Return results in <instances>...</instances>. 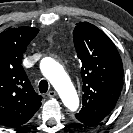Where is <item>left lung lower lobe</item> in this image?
I'll return each instance as SVG.
<instances>
[{
    "label": "left lung lower lobe",
    "instance_id": "left-lung-lower-lobe-1",
    "mask_svg": "<svg viewBox=\"0 0 133 133\" xmlns=\"http://www.w3.org/2000/svg\"><path fill=\"white\" fill-rule=\"evenodd\" d=\"M75 117L80 122H82V123H84L86 125H90V126L96 125V124H98L101 121L99 119H94V118H91V117H87V116H85L83 114H80V113L75 114Z\"/></svg>",
    "mask_w": 133,
    "mask_h": 133
}]
</instances>
